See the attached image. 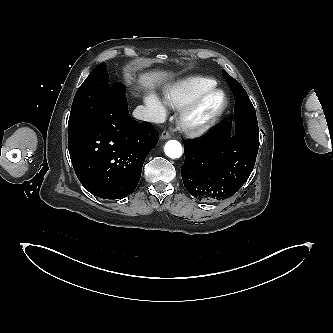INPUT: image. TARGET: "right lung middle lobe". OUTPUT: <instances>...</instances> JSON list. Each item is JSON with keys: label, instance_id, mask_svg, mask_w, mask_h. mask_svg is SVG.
Returning a JSON list of instances; mask_svg holds the SVG:
<instances>
[{"label": "right lung middle lobe", "instance_id": "dd1d6c3e", "mask_svg": "<svg viewBox=\"0 0 333 333\" xmlns=\"http://www.w3.org/2000/svg\"><path fill=\"white\" fill-rule=\"evenodd\" d=\"M105 63L95 67L74 97L68 122V133L83 127L100 110L116 84L109 82Z\"/></svg>", "mask_w": 333, "mask_h": 333}]
</instances>
